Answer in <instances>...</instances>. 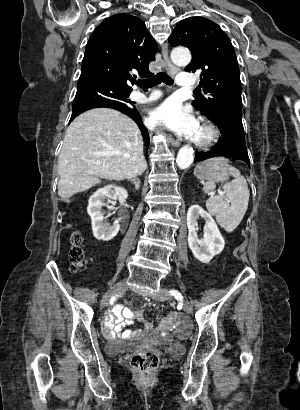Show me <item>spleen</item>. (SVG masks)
I'll return each instance as SVG.
<instances>
[{
	"instance_id": "3e777b00",
	"label": "spleen",
	"mask_w": 300,
	"mask_h": 410,
	"mask_svg": "<svg viewBox=\"0 0 300 410\" xmlns=\"http://www.w3.org/2000/svg\"><path fill=\"white\" fill-rule=\"evenodd\" d=\"M228 170L234 180L223 186L225 195H211L206 201V207L212 215H215L218 224L230 233L242 221L248 208L250 193L246 179L239 170L232 166H229ZM215 187V183L208 180L203 185V191L209 193Z\"/></svg>"
}]
</instances>
